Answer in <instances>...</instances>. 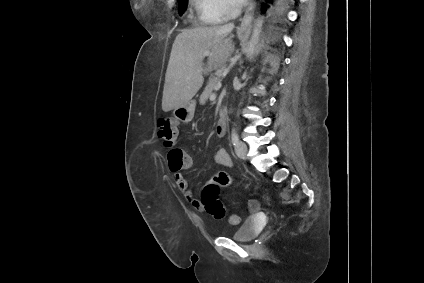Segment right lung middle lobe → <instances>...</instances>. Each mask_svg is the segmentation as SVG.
Segmentation results:
<instances>
[{
  "instance_id": "obj_1",
  "label": "right lung middle lobe",
  "mask_w": 424,
  "mask_h": 283,
  "mask_svg": "<svg viewBox=\"0 0 424 283\" xmlns=\"http://www.w3.org/2000/svg\"><path fill=\"white\" fill-rule=\"evenodd\" d=\"M187 4L188 0H178V10L180 15H182L183 12L186 10Z\"/></svg>"
}]
</instances>
